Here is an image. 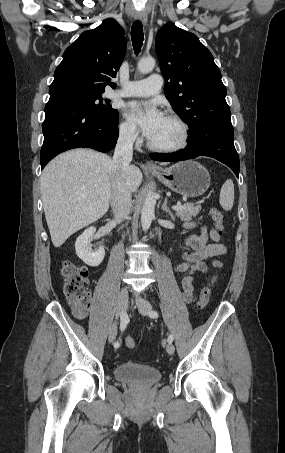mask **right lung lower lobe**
Returning <instances> with one entry per match:
<instances>
[{
  "mask_svg": "<svg viewBox=\"0 0 285 453\" xmlns=\"http://www.w3.org/2000/svg\"><path fill=\"white\" fill-rule=\"evenodd\" d=\"M42 130L41 169L53 157L69 149L86 147L100 152L113 149L118 138V116L101 119L76 100L53 95L45 106Z\"/></svg>",
  "mask_w": 285,
  "mask_h": 453,
  "instance_id": "1",
  "label": "right lung lower lobe"
}]
</instances>
